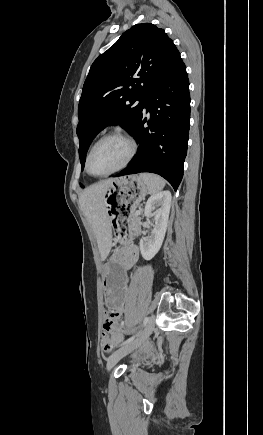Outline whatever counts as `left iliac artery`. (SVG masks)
I'll return each mask as SVG.
<instances>
[{"label":"left iliac artery","instance_id":"left-iliac-artery-1","mask_svg":"<svg viewBox=\"0 0 263 435\" xmlns=\"http://www.w3.org/2000/svg\"><path fill=\"white\" fill-rule=\"evenodd\" d=\"M148 321H149V318H148V317H145V318H144V321H143V324H142V328H143L144 326H146V324L148 323ZM139 333H140V331L137 332L134 336H132V337H130L129 339H127L125 342H123V343L121 344V346H122V345H126V344L132 342V341L135 339V337L139 335Z\"/></svg>","mask_w":263,"mask_h":435}]
</instances>
